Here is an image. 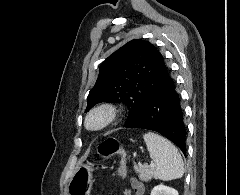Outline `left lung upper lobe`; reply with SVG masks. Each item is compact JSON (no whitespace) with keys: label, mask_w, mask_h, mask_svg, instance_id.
<instances>
[{"label":"left lung upper lobe","mask_w":240,"mask_h":195,"mask_svg":"<svg viewBox=\"0 0 240 195\" xmlns=\"http://www.w3.org/2000/svg\"><path fill=\"white\" fill-rule=\"evenodd\" d=\"M168 74L163 57L154 45L144 40H132L100 66L98 79L87 97L86 112L100 102H121L128 108V122L164 83Z\"/></svg>","instance_id":"5c2ea615"}]
</instances>
